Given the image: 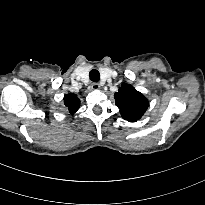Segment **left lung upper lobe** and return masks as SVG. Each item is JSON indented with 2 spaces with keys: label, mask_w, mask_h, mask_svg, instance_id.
Listing matches in <instances>:
<instances>
[{
  "label": "left lung upper lobe",
  "mask_w": 205,
  "mask_h": 205,
  "mask_svg": "<svg viewBox=\"0 0 205 205\" xmlns=\"http://www.w3.org/2000/svg\"><path fill=\"white\" fill-rule=\"evenodd\" d=\"M116 106L123 119L136 122L148 108V100L131 85L123 83L119 92L114 94Z\"/></svg>",
  "instance_id": "left-lung-upper-lobe-1"
}]
</instances>
